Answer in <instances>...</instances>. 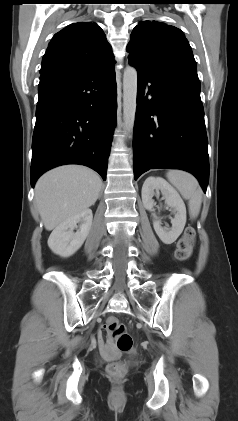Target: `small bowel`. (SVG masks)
<instances>
[{
	"instance_id": "c3829d8e",
	"label": "small bowel",
	"mask_w": 238,
	"mask_h": 421,
	"mask_svg": "<svg viewBox=\"0 0 238 421\" xmlns=\"http://www.w3.org/2000/svg\"><path fill=\"white\" fill-rule=\"evenodd\" d=\"M99 345H100L101 351L106 355L110 354L113 351L111 344L108 341H105L102 335L99 336Z\"/></svg>"
}]
</instances>
